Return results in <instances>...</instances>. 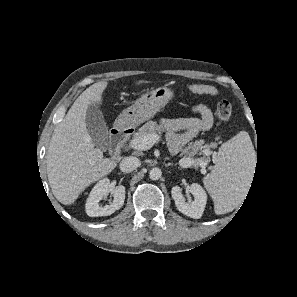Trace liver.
I'll list each match as a JSON object with an SVG mask.
<instances>
[{"instance_id": "liver-1", "label": "liver", "mask_w": 297, "mask_h": 297, "mask_svg": "<svg viewBox=\"0 0 297 297\" xmlns=\"http://www.w3.org/2000/svg\"><path fill=\"white\" fill-rule=\"evenodd\" d=\"M142 83L148 81L139 80L135 85ZM107 85V82H98L87 88L52 134L47 154L48 180L54 196L64 205L74 203L86 187L116 167V161L103 158V152L93 143L85 121L89 104H102Z\"/></svg>"}]
</instances>
